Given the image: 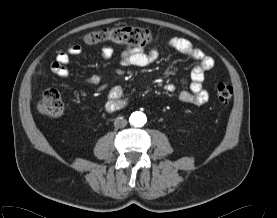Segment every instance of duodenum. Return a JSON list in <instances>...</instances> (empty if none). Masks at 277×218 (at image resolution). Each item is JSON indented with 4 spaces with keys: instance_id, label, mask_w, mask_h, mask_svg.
<instances>
[{
    "instance_id": "1",
    "label": "duodenum",
    "mask_w": 277,
    "mask_h": 218,
    "mask_svg": "<svg viewBox=\"0 0 277 218\" xmlns=\"http://www.w3.org/2000/svg\"><path fill=\"white\" fill-rule=\"evenodd\" d=\"M121 105H122L121 102H114V103H113V108H114V110L119 109V108L121 107Z\"/></svg>"
}]
</instances>
